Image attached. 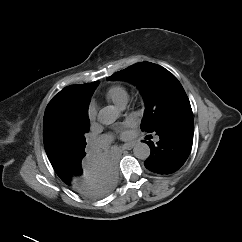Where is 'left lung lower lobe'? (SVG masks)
Here are the masks:
<instances>
[{"label":"left lung lower lobe","mask_w":242,"mask_h":242,"mask_svg":"<svg viewBox=\"0 0 242 242\" xmlns=\"http://www.w3.org/2000/svg\"><path fill=\"white\" fill-rule=\"evenodd\" d=\"M192 109H184L163 121L155 132L160 140L154 145L148 142L151 154L144 162L145 167L157 174L176 172L187 160L193 143Z\"/></svg>","instance_id":"left-lung-lower-lobe-1"}]
</instances>
